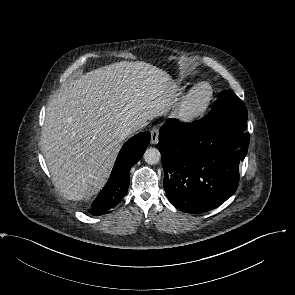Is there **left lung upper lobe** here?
Masks as SVG:
<instances>
[{
    "label": "left lung upper lobe",
    "mask_w": 295,
    "mask_h": 295,
    "mask_svg": "<svg viewBox=\"0 0 295 295\" xmlns=\"http://www.w3.org/2000/svg\"><path fill=\"white\" fill-rule=\"evenodd\" d=\"M218 96L208 115L246 125L248 112L242 100L232 91H223Z\"/></svg>",
    "instance_id": "left-lung-upper-lobe-1"
}]
</instances>
